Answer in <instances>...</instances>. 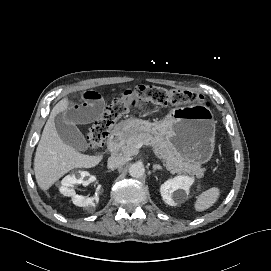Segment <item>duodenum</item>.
I'll list each match as a JSON object with an SVG mask.
<instances>
[{
	"label": "duodenum",
	"instance_id": "duodenum-1",
	"mask_svg": "<svg viewBox=\"0 0 271 271\" xmlns=\"http://www.w3.org/2000/svg\"><path fill=\"white\" fill-rule=\"evenodd\" d=\"M124 131L121 127L115 129L108 138L107 145L110 151L117 152L123 142Z\"/></svg>",
	"mask_w": 271,
	"mask_h": 271
}]
</instances>
